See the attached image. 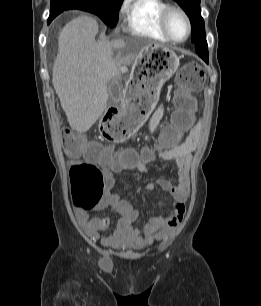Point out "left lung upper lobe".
Segmentation results:
<instances>
[{
	"mask_svg": "<svg viewBox=\"0 0 261 306\" xmlns=\"http://www.w3.org/2000/svg\"><path fill=\"white\" fill-rule=\"evenodd\" d=\"M185 13L191 22V41L195 44L196 53L208 63V46L205 37L204 20L201 17L200 0H174Z\"/></svg>",
	"mask_w": 261,
	"mask_h": 306,
	"instance_id": "5c2ea615",
	"label": "left lung upper lobe"
}]
</instances>
